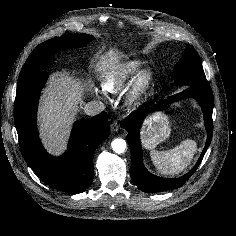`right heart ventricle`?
<instances>
[{"mask_svg":"<svg viewBox=\"0 0 236 236\" xmlns=\"http://www.w3.org/2000/svg\"><path fill=\"white\" fill-rule=\"evenodd\" d=\"M141 67L139 61H129L112 69L104 76L101 87L106 93L117 94Z\"/></svg>","mask_w":236,"mask_h":236,"instance_id":"right-heart-ventricle-1","label":"right heart ventricle"}]
</instances>
